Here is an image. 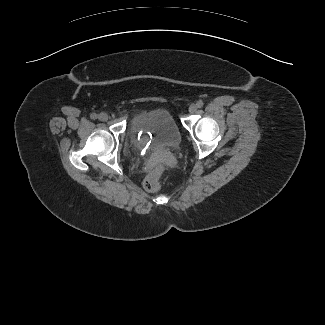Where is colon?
I'll use <instances>...</instances> for the list:
<instances>
[{
	"mask_svg": "<svg viewBox=\"0 0 325 325\" xmlns=\"http://www.w3.org/2000/svg\"><path fill=\"white\" fill-rule=\"evenodd\" d=\"M165 172V166L160 165L153 169L145 178L144 180V187L146 190L151 191V192H156L160 189L161 187V177Z\"/></svg>",
	"mask_w": 325,
	"mask_h": 325,
	"instance_id": "colon-1",
	"label": "colon"
}]
</instances>
